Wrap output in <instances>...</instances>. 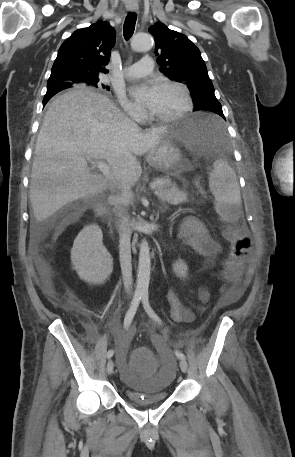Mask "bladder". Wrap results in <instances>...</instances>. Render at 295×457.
Listing matches in <instances>:
<instances>
[{
    "label": "bladder",
    "instance_id": "obj_1",
    "mask_svg": "<svg viewBox=\"0 0 295 457\" xmlns=\"http://www.w3.org/2000/svg\"><path fill=\"white\" fill-rule=\"evenodd\" d=\"M114 346L126 347L127 339L115 338ZM154 347L157 354H163L158 358V374H131V360L125 356V352L118 349L111 352L113 364L119 365L117 377L124 378V395L130 403L137 406L161 403L169 397L168 387L173 378V369L177 366L173 360L175 355L168 352L165 342H156Z\"/></svg>",
    "mask_w": 295,
    "mask_h": 457
}]
</instances>
